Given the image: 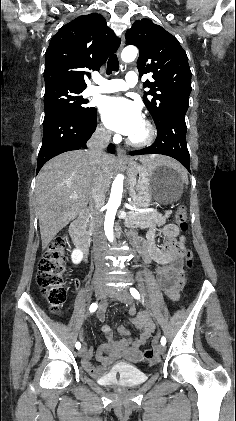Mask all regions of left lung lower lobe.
<instances>
[{
  "mask_svg": "<svg viewBox=\"0 0 236 421\" xmlns=\"http://www.w3.org/2000/svg\"><path fill=\"white\" fill-rule=\"evenodd\" d=\"M185 110L175 109L162 119L157 127L155 142L144 149L130 152V155L162 154L173 157L190 171L189 152L186 144Z\"/></svg>",
  "mask_w": 236,
  "mask_h": 421,
  "instance_id": "1",
  "label": "left lung lower lobe"
}]
</instances>
